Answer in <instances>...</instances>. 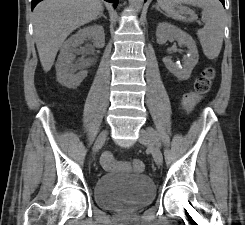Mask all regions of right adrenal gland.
Here are the masks:
<instances>
[{
	"mask_svg": "<svg viewBox=\"0 0 245 225\" xmlns=\"http://www.w3.org/2000/svg\"><path fill=\"white\" fill-rule=\"evenodd\" d=\"M101 17H103V18H105V19H107V17L104 15V13L102 12L99 16H98V18L97 19H99V18H101Z\"/></svg>",
	"mask_w": 245,
	"mask_h": 225,
	"instance_id": "obj_1",
	"label": "right adrenal gland"
}]
</instances>
